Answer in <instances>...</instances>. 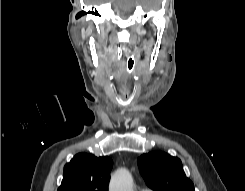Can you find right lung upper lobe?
Instances as JSON below:
<instances>
[{
	"instance_id": "obj_1",
	"label": "right lung upper lobe",
	"mask_w": 245,
	"mask_h": 191,
	"mask_svg": "<svg viewBox=\"0 0 245 191\" xmlns=\"http://www.w3.org/2000/svg\"><path fill=\"white\" fill-rule=\"evenodd\" d=\"M112 164L107 156L79 153L65 165L57 191H107Z\"/></svg>"
}]
</instances>
